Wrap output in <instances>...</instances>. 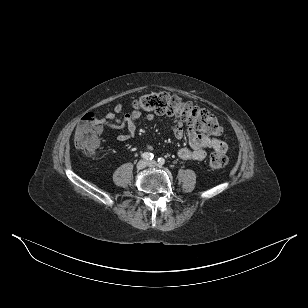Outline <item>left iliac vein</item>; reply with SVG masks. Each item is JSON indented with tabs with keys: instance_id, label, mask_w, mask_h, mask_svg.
<instances>
[{
	"instance_id": "left-iliac-vein-1",
	"label": "left iliac vein",
	"mask_w": 308,
	"mask_h": 308,
	"mask_svg": "<svg viewBox=\"0 0 308 308\" xmlns=\"http://www.w3.org/2000/svg\"><path fill=\"white\" fill-rule=\"evenodd\" d=\"M148 165L151 166V167L156 166L157 162L155 160H151V161L148 162Z\"/></svg>"
}]
</instances>
